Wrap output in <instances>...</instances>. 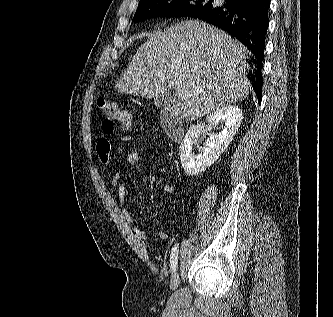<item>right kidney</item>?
I'll return each instance as SVG.
<instances>
[{"label": "right kidney", "instance_id": "right-kidney-1", "mask_svg": "<svg viewBox=\"0 0 333 317\" xmlns=\"http://www.w3.org/2000/svg\"><path fill=\"white\" fill-rule=\"evenodd\" d=\"M243 119L242 110L235 105L224 106L210 113L203 126L192 125L180 146V161L183 170L189 176H196L216 162L227 149ZM220 121L225 122L219 134H211L199 154L192 152V145L206 129H212Z\"/></svg>", "mask_w": 333, "mask_h": 317}]
</instances>
